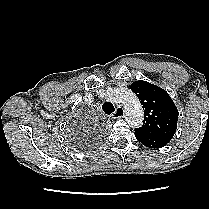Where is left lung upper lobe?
<instances>
[{"label": "left lung upper lobe", "mask_w": 209, "mask_h": 209, "mask_svg": "<svg viewBox=\"0 0 209 209\" xmlns=\"http://www.w3.org/2000/svg\"><path fill=\"white\" fill-rule=\"evenodd\" d=\"M130 89L138 96L144 109L143 125L135 131L170 141L176 132L178 110L169 94L143 80L135 81Z\"/></svg>", "instance_id": "1"}]
</instances>
